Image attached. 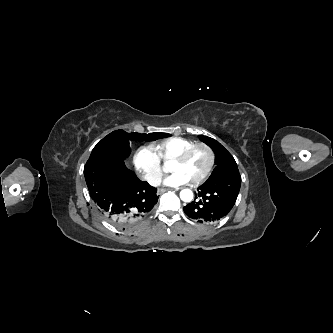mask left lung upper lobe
Returning a JSON list of instances; mask_svg holds the SVG:
<instances>
[{
	"label": "left lung upper lobe",
	"instance_id": "1",
	"mask_svg": "<svg viewBox=\"0 0 333 333\" xmlns=\"http://www.w3.org/2000/svg\"><path fill=\"white\" fill-rule=\"evenodd\" d=\"M199 139L210 146L216 156V167L206 182H209L223 174L239 172L233 156L215 139L200 135Z\"/></svg>",
	"mask_w": 333,
	"mask_h": 333
}]
</instances>
